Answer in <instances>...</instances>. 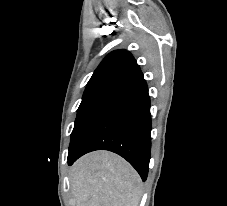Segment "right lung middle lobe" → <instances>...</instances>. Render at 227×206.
Masks as SVG:
<instances>
[{
	"instance_id": "obj_1",
	"label": "right lung middle lobe",
	"mask_w": 227,
	"mask_h": 206,
	"mask_svg": "<svg viewBox=\"0 0 227 206\" xmlns=\"http://www.w3.org/2000/svg\"><path fill=\"white\" fill-rule=\"evenodd\" d=\"M129 86V83L122 81H104L87 85L82 102L77 110V117L71 134L69 154L74 151L99 115L111 103L122 96Z\"/></svg>"
}]
</instances>
